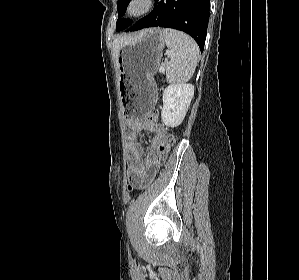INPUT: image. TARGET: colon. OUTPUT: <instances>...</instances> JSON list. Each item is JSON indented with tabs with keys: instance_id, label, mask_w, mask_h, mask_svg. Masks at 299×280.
I'll return each instance as SVG.
<instances>
[{
	"instance_id": "1",
	"label": "colon",
	"mask_w": 299,
	"mask_h": 280,
	"mask_svg": "<svg viewBox=\"0 0 299 280\" xmlns=\"http://www.w3.org/2000/svg\"><path fill=\"white\" fill-rule=\"evenodd\" d=\"M156 119H157L156 111L149 113L147 116V120H149V121H155ZM174 143H175V136L172 133L167 134L165 143L161 148V153H160V157L158 160L159 165H162L164 163V161L166 160ZM151 180H152V178L149 177L146 180L141 181V182H130L129 189L132 190L134 188H139V189L144 188L150 183Z\"/></svg>"
}]
</instances>
